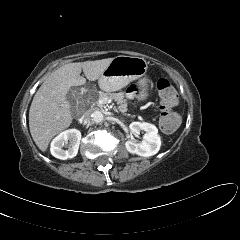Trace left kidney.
<instances>
[{"label":"left kidney","mask_w":240,"mask_h":240,"mask_svg":"<svg viewBox=\"0 0 240 240\" xmlns=\"http://www.w3.org/2000/svg\"><path fill=\"white\" fill-rule=\"evenodd\" d=\"M130 130L136 134L144 131L143 140L139 143L135 141H126L125 147L131 154H137L142 157H150L155 155L161 146V138L158 135L156 126L146 122H132Z\"/></svg>","instance_id":"left-kidney-1"}]
</instances>
